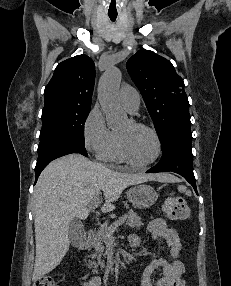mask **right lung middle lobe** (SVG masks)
<instances>
[{
  "label": "right lung middle lobe",
  "instance_id": "obj_1",
  "mask_svg": "<svg viewBox=\"0 0 231 286\" xmlns=\"http://www.w3.org/2000/svg\"><path fill=\"white\" fill-rule=\"evenodd\" d=\"M90 106L55 104L44 107L38 150L57 141L85 144L84 124Z\"/></svg>",
  "mask_w": 231,
  "mask_h": 286
}]
</instances>
